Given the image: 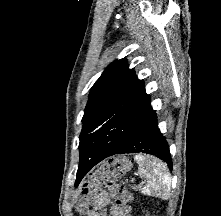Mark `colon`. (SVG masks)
Segmentation results:
<instances>
[{
    "label": "colon",
    "instance_id": "obj_1",
    "mask_svg": "<svg viewBox=\"0 0 221 216\" xmlns=\"http://www.w3.org/2000/svg\"><path fill=\"white\" fill-rule=\"evenodd\" d=\"M128 166L129 164L127 160L117 158L111 159L96 168L90 176L91 183L82 191L78 203V212L84 214L96 203L99 196V185L106 180L110 193L117 196L118 207L124 216H128L130 211L129 203L132 200V195L119 186L114 180V176L126 171Z\"/></svg>",
    "mask_w": 221,
    "mask_h": 216
}]
</instances>
